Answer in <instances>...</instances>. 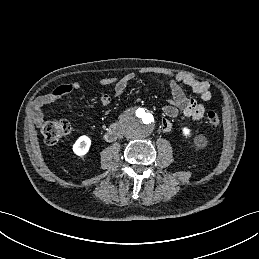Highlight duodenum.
Segmentation results:
<instances>
[{"instance_id": "obj_1", "label": "duodenum", "mask_w": 259, "mask_h": 259, "mask_svg": "<svg viewBox=\"0 0 259 259\" xmlns=\"http://www.w3.org/2000/svg\"><path fill=\"white\" fill-rule=\"evenodd\" d=\"M119 132H120L119 128L115 124H113L109 128V130L104 134V139L106 141H113L117 138V136L119 135Z\"/></svg>"}]
</instances>
